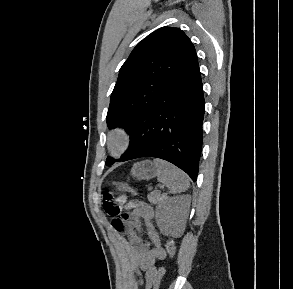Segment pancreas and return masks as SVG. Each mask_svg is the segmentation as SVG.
<instances>
[{"label":"pancreas","mask_w":293,"mask_h":289,"mask_svg":"<svg viewBox=\"0 0 293 289\" xmlns=\"http://www.w3.org/2000/svg\"><path fill=\"white\" fill-rule=\"evenodd\" d=\"M147 198L152 204H157L164 199V196L161 195L160 191L154 190L147 196Z\"/></svg>","instance_id":"1"}]
</instances>
